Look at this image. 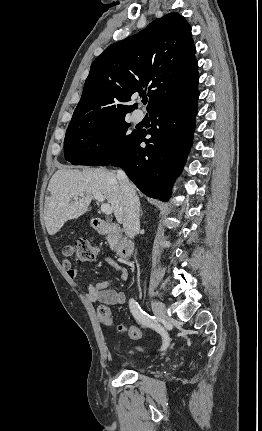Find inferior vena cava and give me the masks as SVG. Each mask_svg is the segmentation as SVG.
<instances>
[{"label": "inferior vena cava", "instance_id": "inferior-vena-cava-1", "mask_svg": "<svg viewBox=\"0 0 262 431\" xmlns=\"http://www.w3.org/2000/svg\"><path fill=\"white\" fill-rule=\"evenodd\" d=\"M117 179L124 192L123 228L128 237L134 238L140 227L139 198L137 197L133 185L123 170L119 169L117 171Z\"/></svg>", "mask_w": 262, "mask_h": 431}]
</instances>
